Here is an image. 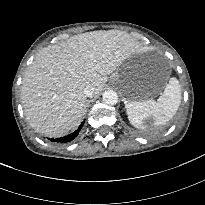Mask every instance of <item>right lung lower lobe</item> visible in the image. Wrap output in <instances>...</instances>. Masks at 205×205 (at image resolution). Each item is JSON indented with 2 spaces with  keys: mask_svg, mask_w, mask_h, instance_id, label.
Instances as JSON below:
<instances>
[{
  "mask_svg": "<svg viewBox=\"0 0 205 205\" xmlns=\"http://www.w3.org/2000/svg\"><path fill=\"white\" fill-rule=\"evenodd\" d=\"M83 125H84V122H82L81 125L79 126V128L76 131H74L73 133H71L65 137L51 139V141L59 142V143H66V142L72 141L79 134Z\"/></svg>",
  "mask_w": 205,
  "mask_h": 205,
  "instance_id": "1",
  "label": "right lung lower lobe"
}]
</instances>
